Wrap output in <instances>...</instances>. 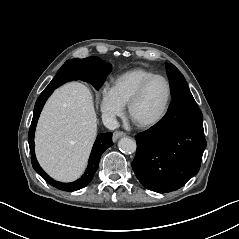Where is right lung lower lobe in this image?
I'll return each instance as SVG.
<instances>
[{
    "instance_id": "98d812e1",
    "label": "right lung lower lobe",
    "mask_w": 239,
    "mask_h": 239,
    "mask_svg": "<svg viewBox=\"0 0 239 239\" xmlns=\"http://www.w3.org/2000/svg\"><path fill=\"white\" fill-rule=\"evenodd\" d=\"M110 71L111 64L105 63L99 57L67 60L36 101L33 119L28 135L32 166L45 181L59 190L76 191L84 188L92 180L98 168L102 153L113 145L112 133H102L97 136L90 155L88 168L81 178L71 183L58 182L45 173V171L39 166V163L35 157L34 132L40 112L48 97L62 84L71 80L80 79L90 82L96 89H98L102 86Z\"/></svg>"
}]
</instances>
